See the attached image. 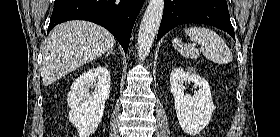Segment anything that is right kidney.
Segmentation results:
<instances>
[{
    "mask_svg": "<svg viewBox=\"0 0 280 137\" xmlns=\"http://www.w3.org/2000/svg\"><path fill=\"white\" fill-rule=\"evenodd\" d=\"M110 73L99 66L82 73L67 95L70 107L69 121L76 127L79 137H89L96 131L110 94ZM90 89L94 91L90 93Z\"/></svg>",
    "mask_w": 280,
    "mask_h": 137,
    "instance_id": "1",
    "label": "right kidney"
}]
</instances>
